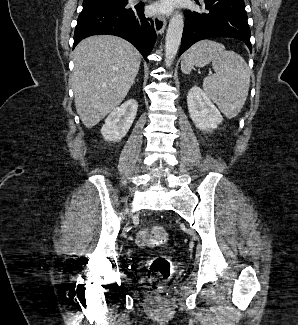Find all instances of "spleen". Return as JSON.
<instances>
[{
    "instance_id": "1",
    "label": "spleen",
    "mask_w": 298,
    "mask_h": 325,
    "mask_svg": "<svg viewBox=\"0 0 298 325\" xmlns=\"http://www.w3.org/2000/svg\"><path fill=\"white\" fill-rule=\"evenodd\" d=\"M182 72L190 74L193 66H205L211 62L215 74L206 76L203 88L226 118L239 114L248 96L250 86L249 66L234 50H225L224 44L215 40H199L184 54Z\"/></svg>"
}]
</instances>
